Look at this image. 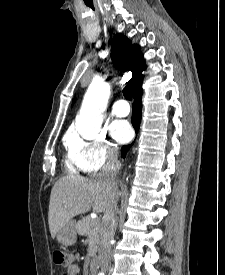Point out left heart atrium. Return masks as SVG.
Returning <instances> with one entry per match:
<instances>
[{"mask_svg": "<svg viewBox=\"0 0 225 275\" xmlns=\"http://www.w3.org/2000/svg\"><path fill=\"white\" fill-rule=\"evenodd\" d=\"M111 134L118 142H126L132 135V130L128 122L115 121L110 126Z\"/></svg>", "mask_w": 225, "mask_h": 275, "instance_id": "left-heart-atrium-1", "label": "left heart atrium"}]
</instances>
